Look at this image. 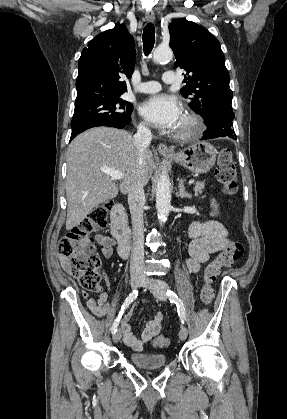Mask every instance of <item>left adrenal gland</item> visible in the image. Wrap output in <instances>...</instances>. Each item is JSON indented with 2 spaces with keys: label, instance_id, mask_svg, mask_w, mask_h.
<instances>
[{
  "label": "left adrenal gland",
  "instance_id": "left-adrenal-gland-1",
  "mask_svg": "<svg viewBox=\"0 0 287 419\" xmlns=\"http://www.w3.org/2000/svg\"><path fill=\"white\" fill-rule=\"evenodd\" d=\"M176 196L180 197V198H189V199L191 198V194L188 193L186 191L185 187H184V180L183 179H181L179 181V192L176 193Z\"/></svg>",
  "mask_w": 287,
  "mask_h": 419
}]
</instances>
